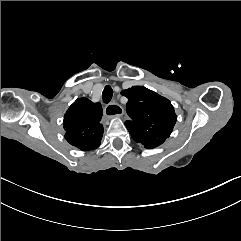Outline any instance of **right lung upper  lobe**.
Wrapping results in <instances>:
<instances>
[{"mask_svg": "<svg viewBox=\"0 0 241 241\" xmlns=\"http://www.w3.org/2000/svg\"><path fill=\"white\" fill-rule=\"evenodd\" d=\"M102 106L87 98L77 99L67 110L63 126L66 140L82 151L100 146L103 136Z\"/></svg>", "mask_w": 241, "mask_h": 241, "instance_id": "cb5924a9", "label": "right lung upper lobe"}]
</instances>
